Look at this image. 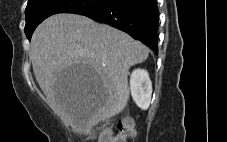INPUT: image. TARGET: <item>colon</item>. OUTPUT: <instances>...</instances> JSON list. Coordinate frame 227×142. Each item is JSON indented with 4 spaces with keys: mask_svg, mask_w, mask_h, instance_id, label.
<instances>
[{
    "mask_svg": "<svg viewBox=\"0 0 227 142\" xmlns=\"http://www.w3.org/2000/svg\"><path fill=\"white\" fill-rule=\"evenodd\" d=\"M134 133V121L130 118H125L117 123L115 130H105L98 142H127Z\"/></svg>",
    "mask_w": 227,
    "mask_h": 142,
    "instance_id": "1",
    "label": "colon"
}]
</instances>
